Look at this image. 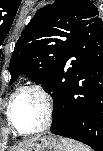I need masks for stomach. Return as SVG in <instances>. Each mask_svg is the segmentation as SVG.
Returning a JSON list of instances; mask_svg holds the SVG:
<instances>
[{
	"mask_svg": "<svg viewBox=\"0 0 103 151\" xmlns=\"http://www.w3.org/2000/svg\"><path fill=\"white\" fill-rule=\"evenodd\" d=\"M26 151H65V146L58 137L37 136Z\"/></svg>",
	"mask_w": 103,
	"mask_h": 151,
	"instance_id": "obj_1",
	"label": "stomach"
}]
</instances>
